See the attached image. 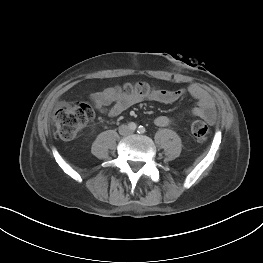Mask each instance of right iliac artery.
Here are the masks:
<instances>
[{"mask_svg":"<svg viewBox=\"0 0 263 263\" xmlns=\"http://www.w3.org/2000/svg\"><path fill=\"white\" fill-rule=\"evenodd\" d=\"M128 127L130 130L134 131V130H136L137 125L134 122H131V123H129Z\"/></svg>","mask_w":263,"mask_h":263,"instance_id":"right-iliac-artery-1","label":"right iliac artery"}]
</instances>
